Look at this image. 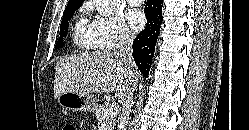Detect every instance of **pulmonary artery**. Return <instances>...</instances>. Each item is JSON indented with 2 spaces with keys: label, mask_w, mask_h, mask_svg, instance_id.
<instances>
[{
  "label": "pulmonary artery",
  "mask_w": 249,
  "mask_h": 130,
  "mask_svg": "<svg viewBox=\"0 0 249 130\" xmlns=\"http://www.w3.org/2000/svg\"><path fill=\"white\" fill-rule=\"evenodd\" d=\"M143 0H127L130 5H140Z\"/></svg>",
  "instance_id": "e3ab8cb5"
}]
</instances>
